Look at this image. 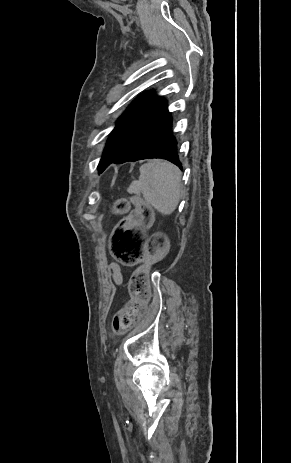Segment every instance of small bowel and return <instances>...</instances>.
Wrapping results in <instances>:
<instances>
[{
  "label": "small bowel",
  "instance_id": "obj_1",
  "mask_svg": "<svg viewBox=\"0 0 291 463\" xmlns=\"http://www.w3.org/2000/svg\"><path fill=\"white\" fill-rule=\"evenodd\" d=\"M110 272L114 283L118 286L121 285L123 281V276L120 266L118 264L112 263L110 265Z\"/></svg>",
  "mask_w": 291,
  "mask_h": 463
}]
</instances>
